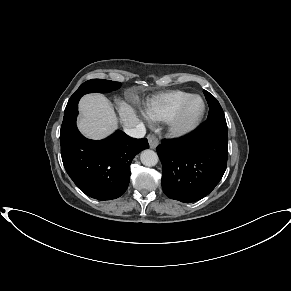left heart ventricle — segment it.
I'll return each instance as SVG.
<instances>
[{
	"label": "left heart ventricle",
	"mask_w": 291,
	"mask_h": 291,
	"mask_svg": "<svg viewBox=\"0 0 291 291\" xmlns=\"http://www.w3.org/2000/svg\"><path fill=\"white\" fill-rule=\"evenodd\" d=\"M201 107H202L201 101L199 99H194L186 110L184 121L190 122L193 119H195V117L199 114Z\"/></svg>",
	"instance_id": "obj_1"
}]
</instances>
